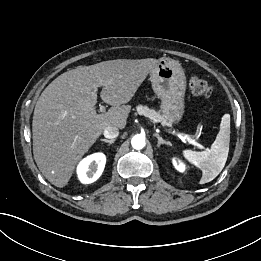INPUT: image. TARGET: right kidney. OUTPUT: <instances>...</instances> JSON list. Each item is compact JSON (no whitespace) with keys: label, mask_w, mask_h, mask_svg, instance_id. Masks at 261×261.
Here are the masks:
<instances>
[{"label":"right kidney","mask_w":261,"mask_h":261,"mask_svg":"<svg viewBox=\"0 0 261 261\" xmlns=\"http://www.w3.org/2000/svg\"><path fill=\"white\" fill-rule=\"evenodd\" d=\"M106 163L103 153H94L84 158L77 166V175L84 184L95 182L102 174Z\"/></svg>","instance_id":"1"}]
</instances>
